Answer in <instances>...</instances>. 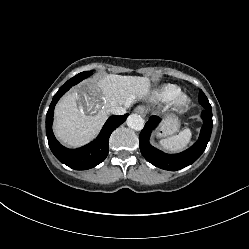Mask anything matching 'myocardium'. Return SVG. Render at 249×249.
Returning a JSON list of instances; mask_svg holds the SVG:
<instances>
[{"mask_svg": "<svg viewBox=\"0 0 249 249\" xmlns=\"http://www.w3.org/2000/svg\"><path fill=\"white\" fill-rule=\"evenodd\" d=\"M190 103V99L186 95H180L176 100H175V105L177 109H184L186 108Z\"/></svg>", "mask_w": 249, "mask_h": 249, "instance_id": "obj_1", "label": "myocardium"}]
</instances>
